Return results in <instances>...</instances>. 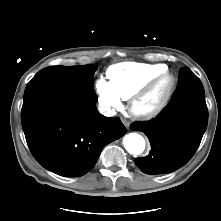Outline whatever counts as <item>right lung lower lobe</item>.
<instances>
[{
	"label": "right lung lower lobe",
	"mask_w": 221,
	"mask_h": 221,
	"mask_svg": "<svg viewBox=\"0 0 221 221\" xmlns=\"http://www.w3.org/2000/svg\"><path fill=\"white\" fill-rule=\"evenodd\" d=\"M97 100L94 91L52 84L26 87L22 127L32 155L44 168L65 177L82 176L104 146L125 135L119 118L99 114Z\"/></svg>",
	"instance_id": "1"
}]
</instances>
